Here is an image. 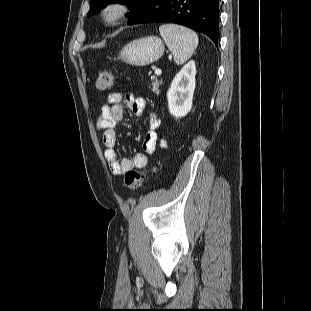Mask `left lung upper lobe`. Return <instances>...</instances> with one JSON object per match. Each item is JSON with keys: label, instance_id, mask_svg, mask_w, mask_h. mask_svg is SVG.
I'll list each match as a JSON object with an SVG mask.
<instances>
[{"label": "left lung upper lobe", "instance_id": "5c2ea615", "mask_svg": "<svg viewBox=\"0 0 311 311\" xmlns=\"http://www.w3.org/2000/svg\"><path fill=\"white\" fill-rule=\"evenodd\" d=\"M142 2L143 0H90V10L87 13V16L97 13L101 8H104L110 3L125 4L129 8H133L131 11H134L141 5Z\"/></svg>", "mask_w": 311, "mask_h": 311}]
</instances>
